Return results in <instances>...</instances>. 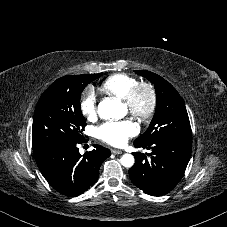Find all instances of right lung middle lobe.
<instances>
[{"instance_id": "right-lung-middle-lobe-1", "label": "right lung middle lobe", "mask_w": 227, "mask_h": 227, "mask_svg": "<svg viewBox=\"0 0 227 227\" xmlns=\"http://www.w3.org/2000/svg\"><path fill=\"white\" fill-rule=\"evenodd\" d=\"M102 74L69 75L52 83L39 99L33 119V151L53 143L83 141L86 126L80 108L84 88Z\"/></svg>"}]
</instances>
